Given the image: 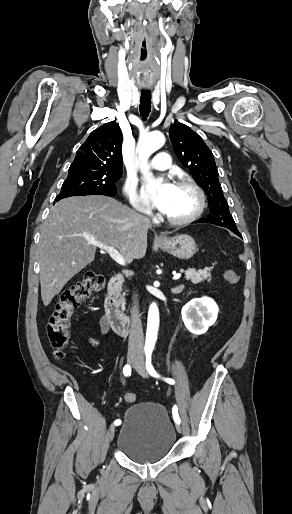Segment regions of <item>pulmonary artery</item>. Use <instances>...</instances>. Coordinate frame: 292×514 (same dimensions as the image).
<instances>
[{"instance_id": "e3ab8cb5", "label": "pulmonary artery", "mask_w": 292, "mask_h": 514, "mask_svg": "<svg viewBox=\"0 0 292 514\" xmlns=\"http://www.w3.org/2000/svg\"><path fill=\"white\" fill-rule=\"evenodd\" d=\"M154 160L151 164V169L154 172H170L172 170V154L168 150L164 151H155L154 152Z\"/></svg>"}]
</instances>
